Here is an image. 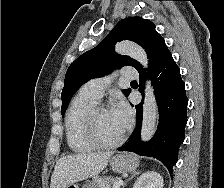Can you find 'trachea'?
Returning <instances> with one entry per match:
<instances>
[{"label": "trachea", "instance_id": "trachea-1", "mask_svg": "<svg viewBox=\"0 0 224 188\" xmlns=\"http://www.w3.org/2000/svg\"><path fill=\"white\" fill-rule=\"evenodd\" d=\"M131 83H136V81H132Z\"/></svg>", "mask_w": 224, "mask_h": 188}]
</instances>
